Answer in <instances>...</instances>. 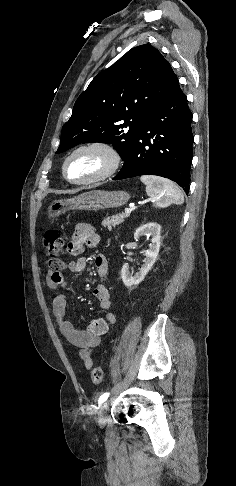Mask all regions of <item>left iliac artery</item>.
Listing matches in <instances>:
<instances>
[{"label": "left iliac artery", "instance_id": "1", "mask_svg": "<svg viewBox=\"0 0 236 486\" xmlns=\"http://www.w3.org/2000/svg\"><path fill=\"white\" fill-rule=\"evenodd\" d=\"M109 397V393L106 392L104 394H102L99 398V404H102L103 402H105L107 400V398Z\"/></svg>", "mask_w": 236, "mask_h": 486}]
</instances>
